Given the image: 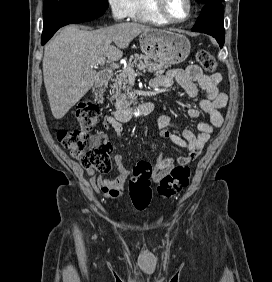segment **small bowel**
Returning a JSON list of instances; mask_svg holds the SVG:
<instances>
[{
    "label": "small bowel",
    "instance_id": "small-bowel-1",
    "mask_svg": "<svg viewBox=\"0 0 272 282\" xmlns=\"http://www.w3.org/2000/svg\"><path fill=\"white\" fill-rule=\"evenodd\" d=\"M153 80L151 82L153 89H169L174 84H179L190 98L198 96L199 88L204 92L197 107L193 106L188 109V115L192 119H200L202 115L205 116L197 125V133L186 128H179L170 115H161L157 119V127L160 129L162 137L187 148V153L176 159L163 157L157 159L151 177L154 182H159L176 164L187 165L199 155L214 128L223 124L220 110L226 106L228 97L219 85L221 75L219 73L207 75L197 65H189L185 69L169 70L165 75ZM103 126L106 129L112 128L118 138L123 136V126L115 117L107 116L103 121ZM173 128L179 129L181 136L171 131ZM113 161L116 169L114 176L98 175L94 169H86V174L91 186L98 194L113 200H120L124 197V184L131 170L124 165L121 155L116 154ZM142 163H145L147 167L150 166L146 162H138L136 166Z\"/></svg>",
    "mask_w": 272,
    "mask_h": 282
}]
</instances>
